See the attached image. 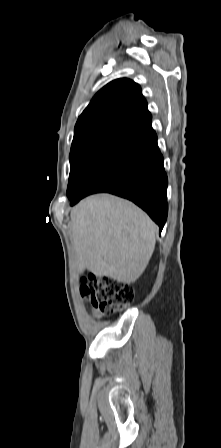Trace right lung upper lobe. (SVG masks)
I'll use <instances>...</instances> for the list:
<instances>
[{
    "instance_id": "cb5924a9",
    "label": "right lung upper lobe",
    "mask_w": 221,
    "mask_h": 448,
    "mask_svg": "<svg viewBox=\"0 0 221 448\" xmlns=\"http://www.w3.org/2000/svg\"><path fill=\"white\" fill-rule=\"evenodd\" d=\"M140 86L117 79L104 86L91 100L75 125L71 150L91 144H118L151 123Z\"/></svg>"
}]
</instances>
